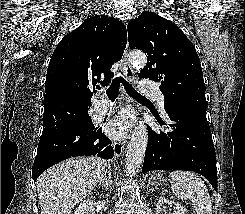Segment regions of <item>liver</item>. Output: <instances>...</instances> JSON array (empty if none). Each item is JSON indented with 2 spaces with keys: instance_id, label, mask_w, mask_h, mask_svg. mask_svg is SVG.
Segmentation results:
<instances>
[{
  "instance_id": "6515ba94",
  "label": "liver",
  "mask_w": 245,
  "mask_h": 214,
  "mask_svg": "<svg viewBox=\"0 0 245 214\" xmlns=\"http://www.w3.org/2000/svg\"><path fill=\"white\" fill-rule=\"evenodd\" d=\"M108 167L104 159L79 157L43 172L37 181L41 214H70L106 176Z\"/></svg>"
}]
</instances>
